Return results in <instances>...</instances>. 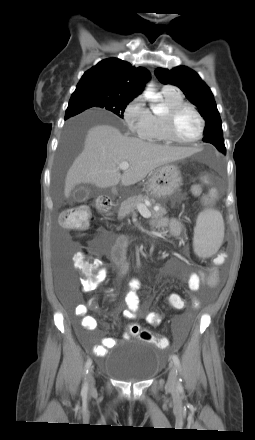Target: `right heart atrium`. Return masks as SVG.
Returning a JSON list of instances; mask_svg holds the SVG:
<instances>
[{
    "instance_id": "obj_1",
    "label": "right heart atrium",
    "mask_w": 255,
    "mask_h": 440,
    "mask_svg": "<svg viewBox=\"0 0 255 440\" xmlns=\"http://www.w3.org/2000/svg\"><path fill=\"white\" fill-rule=\"evenodd\" d=\"M123 118L133 134L143 137L149 131L151 112L147 108L143 96L139 95L127 104L123 112Z\"/></svg>"
}]
</instances>
